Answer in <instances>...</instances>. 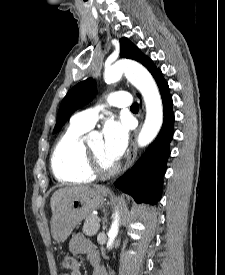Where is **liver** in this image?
I'll return each instance as SVG.
<instances>
[{"mask_svg":"<svg viewBox=\"0 0 225 275\" xmlns=\"http://www.w3.org/2000/svg\"><path fill=\"white\" fill-rule=\"evenodd\" d=\"M91 190L89 186H72L65 187L55 191L51 197L50 206L52 211L55 210L58 203L68 195H75Z\"/></svg>","mask_w":225,"mask_h":275,"instance_id":"liver-1","label":"liver"}]
</instances>
